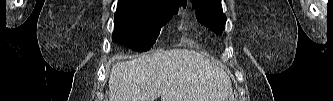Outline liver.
<instances>
[{"label":"liver","mask_w":333,"mask_h":101,"mask_svg":"<svg viewBox=\"0 0 333 101\" xmlns=\"http://www.w3.org/2000/svg\"><path fill=\"white\" fill-rule=\"evenodd\" d=\"M109 101H233L226 72L187 49L158 51L118 62L109 78Z\"/></svg>","instance_id":"1"}]
</instances>
